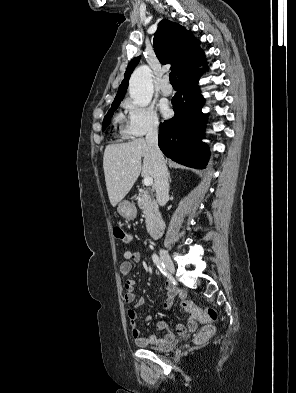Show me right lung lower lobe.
<instances>
[{"mask_svg":"<svg viewBox=\"0 0 296 393\" xmlns=\"http://www.w3.org/2000/svg\"><path fill=\"white\" fill-rule=\"evenodd\" d=\"M205 60L204 53L178 75L179 91L172 98L175 116L160 124L158 144L162 152L180 164L203 169L209 150L201 142L206 115L201 112L203 98L198 80V67Z\"/></svg>","mask_w":296,"mask_h":393,"instance_id":"1","label":"right lung lower lobe"}]
</instances>
